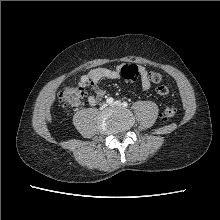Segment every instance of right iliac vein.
<instances>
[{"label":"right iliac vein","mask_w":220,"mask_h":220,"mask_svg":"<svg viewBox=\"0 0 220 220\" xmlns=\"http://www.w3.org/2000/svg\"><path fill=\"white\" fill-rule=\"evenodd\" d=\"M107 107V104H105V103H103L102 105H101V108L102 109H104V108H106Z\"/></svg>","instance_id":"63e3f726"}]
</instances>
